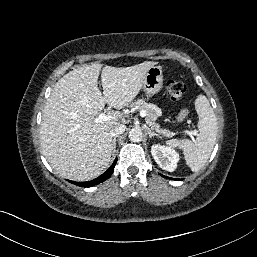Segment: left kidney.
Segmentation results:
<instances>
[{
  "instance_id": "5707ae66",
  "label": "left kidney",
  "mask_w": 257,
  "mask_h": 257,
  "mask_svg": "<svg viewBox=\"0 0 257 257\" xmlns=\"http://www.w3.org/2000/svg\"><path fill=\"white\" fill-rule=\"evenodd\" d=\"M151 154L160 168L166 171H174L179 161V154L170 147L153 145Z\"/></svg>"
}]
</instances>
